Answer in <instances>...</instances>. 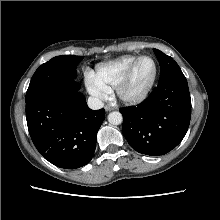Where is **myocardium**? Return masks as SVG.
Here are the masks:
<instances>
[{
    "instance_id": "1",
    "label": "myocardium",
    "mask_w": 220,
    "mask_h": 220,
    "mask_svg": "<svg viewBox=\"0 0 220 220\" xmlns=\"http://www.w3.org/2000/svg\"><path fill=\"white\" fill-rule=\"evenodd\" d=\"M146 58L151 59L154 63V73H153L151 80L146 85V87L142 91H140L139 93H136V94L127 93V88L132 80V77H133V74H134L136 67L143 59H146ZM157 75H158V65H157L156 60L152 56L143 55V56L138 57L134 61V63L131 65V67L129 68L126 75L123 77V79L116 86L117 97L122 102L127 103V104H132V105L139 104V103L143 102L144 100H146V98L151 93V91L154 87V84L156 82Z\"/></svg>"
}]
</instances>
